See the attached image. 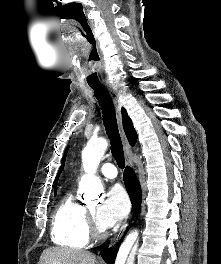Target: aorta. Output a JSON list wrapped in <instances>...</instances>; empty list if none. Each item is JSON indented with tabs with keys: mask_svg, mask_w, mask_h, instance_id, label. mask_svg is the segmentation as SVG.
<instances>
[{
	"mask_svg": "<svg viewBox=\"0 0 221 264\" xmlns=\"http://www.w3.org/2000/svg\"><path fill=\"white\" fill-rule=\"evenodd\" d=\"M107 147V141L101 139L89 142L82 151V165L85 174L80 180L79 188L84 193L87 202L97 199L98 195L103 192V185L95 173ZM137 249L138 237L130 234L122 243L115 264H134Z\"/></svg>",
	"mask_w": 221,
	"mask_h": 264,
	"instance_id": "762f6f07",
	"label": "aorta"
}]
</instances>
